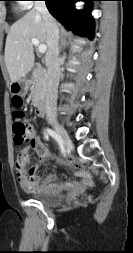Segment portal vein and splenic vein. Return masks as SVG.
<instances>
[{
  "instance_id": "1",
  "label": "portal vein and splenic vein",
  "mask_w": 133,
  "mask_h": 253,
  "mask_svg": "<svg viewBox=\"0 0 133 253\" xmlns=\"http://www.w3.org/2000/svg\"><path fill=\"white\" fill-rule=\"evenodd\" d=\"M31 42L33 45L38 47L40 53H45L47 50V46L45 44H40L39 40L36 38H32Z\"/></svg>"
}]
</instances>
